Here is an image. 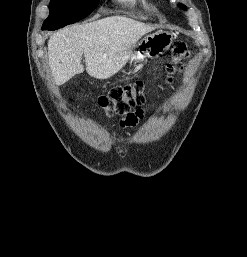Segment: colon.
Masks as SVG:
<instances>
[{"label":"colon","mask_w":247,"mask_h":257,"mask_svg":"<svg viewBox=\"0 0 247 257\" xmlns=\"http://www.w3.org/2000/svg\"><path fill=\"white\" fill-rule=\"evenodd\" d=\"M190 56L191 51L186 44L178 43L174 46L171 60L166 67V84L173 82L174 75L183 70L182 62ZM144 92V83L137 81L125 86L116 87L107 94L100 96L96 101V105L108 116L119 115L126 118L132 113L131 110L133 108L140 107L145 103Z\"/></svg>","instance_id":"1"}]
</instances>
